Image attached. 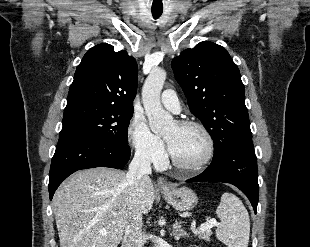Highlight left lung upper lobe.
Listing matches in <instances>:
<instances>
[{"label": "left lung upper lobe", "instance_id": "5c2ea615", "mask_svg": "<svg viewBox=\"0 0 310 247\" xmlns=\"http://www.w3.org/2000/svg\"><path fill=\"white\" fill-rule=\"evenodd\" d=\"M172 69L191 112L214 141V157L251 140L244 85L225 48L204 41L172 60Z\"/></svg>", "mask_w": 310, "mask_h": 247}]
</instances>
